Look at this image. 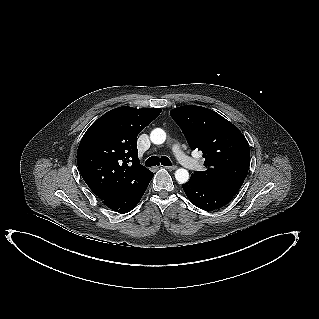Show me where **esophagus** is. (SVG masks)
<instances>
[{"label":"esophagus","mask_w":319,"mask_h":319,"mask_svg":"<svg viewBox=\"0 0 319 319\" xmlns=\"http://www.w3.org/2000/svg\"><path fill=\"white\" fill-rule=\"evenodd\" d=\"M167 170H175L177 166H163Z\"/></svg>","instance_id":"34e87169"}]
</instances>
